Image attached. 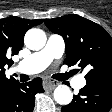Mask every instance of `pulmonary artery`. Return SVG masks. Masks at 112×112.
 I'll return each mask as SVG.
<instances>
[{
  "label": "pulmonary artery",
  "instance_id": "obj_1",
  "mask_svg": "<svg viewBox=\"0 0 112 112\" xmlns=\"http://www.w3.org/2000/svg\"><path fill=\"white\" fill-rule=\"evenodd\" d=\"M65 49L64 40L58 35H50L45 47L21 60L16 65V71L22 74H36L43 71L54 59L62 56ZM86 84L83 76H77L72 81L74 88H82Z\"/></svg>",
  "mask_w": 112,
  "mask_h": 112
}]
</instances>
